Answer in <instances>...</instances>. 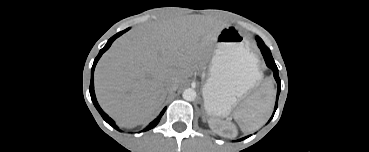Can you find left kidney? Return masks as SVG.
Returning <instances> with one entry per match:
<instances>
[{
	"instance_id": "obj_1",
	"label": "left kidney",
	"mask_w": 369,
	"mask_h": 152,
	"mask_svg": "<svg viewBox=\"0 0 369 152\" xmlns=\"http://www.w3.org/2000/svg\"><path fill=\"white\" fill-rule=\"evenodd\" d=\"M208 123L211 130L220 136L235 137L237 135L235 126L229 122L211 118L208 120Z\"/></svg>"
}]
</instances>
